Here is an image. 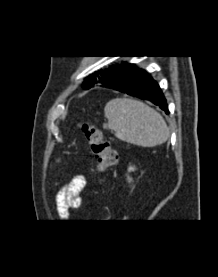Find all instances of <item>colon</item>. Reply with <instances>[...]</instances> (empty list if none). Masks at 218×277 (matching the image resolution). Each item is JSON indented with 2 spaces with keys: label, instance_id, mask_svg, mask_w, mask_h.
I'll use <instances>...</instances> for the list:
<instances>
[{
  "label": "colon",
  "instance_id": "1",
  "mask_svg": "<svg viewBox=\"0 0 218 277\" xmlns=\"http://www.w3.org/2000/svg\"><path fill=\"white\" fill-rule=\"evenodd\" d=\"M80 128L88 142L91 153L95 158L96 172H106L117 162V152L93 123L85 121L80 124Z\"/></svg>",
  "mask_w": 218,
  "mask_h": 277
}]
</instances>
